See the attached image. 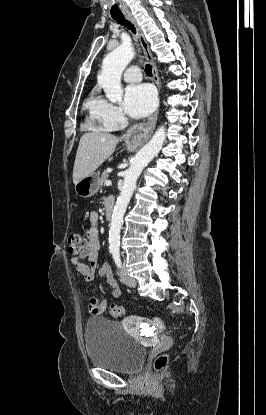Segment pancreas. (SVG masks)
Wrapping results in <instances>:
<instances>
[{
    "mask_svg": "<svg viewBox=\"0 0 266 415\" xmlns=\"http://www.w3.org/2000/svg\"><path fill=\"white\" fill-rule=\"evenodd\" d=\"M109 177V174L107 171H103L101 178H100V186H103L105 184V182L107 181Z\"/></svg>",
    "mask_w": 266,
    "mask_h": 415,
    "instance_id": "pancreas-1",
    "label": "pancreas"
}]
</instances>
